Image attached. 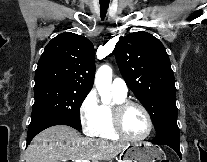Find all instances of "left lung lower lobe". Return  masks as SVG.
Instances as JSON below:
<instances>
[{"mask_svg": "<svg viewBox=\"0 0 207 162\" xmlns=\"http://www.w3.org/2000/svg\"><path fill=\"white\" fill-rule=\"evenodd\" d=\"M151 142L158 145H168L181 158L179 146V128L177 124H169L157 131L156 137Z\"/></svg>", "mask_w": 207, "mask_h": 162, "instance_id": "0a47b994", "label": "left lung lower lobe"}]
</instances>
